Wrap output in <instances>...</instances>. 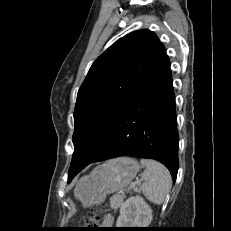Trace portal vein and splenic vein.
Returning <instances> with one entry per match:
<instances>
[{"label": "portal vein and splenic vein", "instance_id": "18ae733b", "mask_svg": "<svg viewBox=\"0 0 231 231\" xmlns=\"http://www.w3.org/2000/svg\"><path fill=\"white\" fill-rule=\"evenodd\" d=\"M136 189L135 184H131L128 190Z\"/></svg>", "mask_w": 231, "mask_h": 231}]
</instances>
